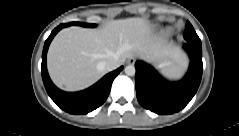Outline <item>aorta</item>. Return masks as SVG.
Listing matches in <instances>:
<instances>
[{
	"mask_svg": "<svg viewBox=\"0 0 239 136\" xmlns=\"http://www.w3.org/2000/svg\"><path fill=\"white\" fill-rule=\"evenodd\" d=\"M124 71H125V74L128 76H134L136 73V69H135L134 65L126 66Z\"/></svg>",
	"mask_w": 239,
	"mask_h": 136,
	"instance_id": "aorta-1",
	"label": "aorta"
}]
</instances>
